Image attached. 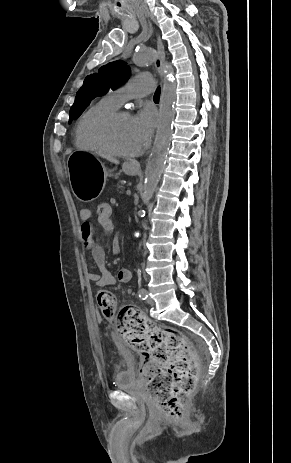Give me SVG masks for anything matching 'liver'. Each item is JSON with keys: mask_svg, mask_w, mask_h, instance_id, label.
<instances>
[{"mask_svg": "<svg viewBox=\"0 0 291 463\" xmlns=\"http://www.w3.org/2000/svg\"><path fill=\"white\" fill-rule=\"evenodd\" d=\"M102 157L106 158L107 160H109L110 162L114 163V164H119V161L115 158H113L112 156L110 155H102Z\"/></svg>", "mask_w": 291, "mask_h": 463, "instance_id": "obj_1", "label": "liver"}]
</instances>
